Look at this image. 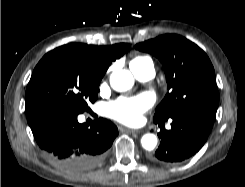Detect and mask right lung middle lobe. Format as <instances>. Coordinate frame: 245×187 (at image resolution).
Instances as JSON below:
<instances>
[{
    "instance_id": "right-lung-middle-lobe-1",
    "label": "right lung middle lobe",
    "mask_w": 245,
    "mask_h": 187,
    "mask_svg": "<svg viewBox=\"0 0 245 187\" xmlns=\"http://www.w3.org/2000/svg\"><path fill=\"white\" fill-rule=\"evenodd\" d=\"M103 75L79 44L48 52L35 67L26 89L27 118L51 109L89 111L88 103L97 99Z\"/></svg>"
}]
</instances>
